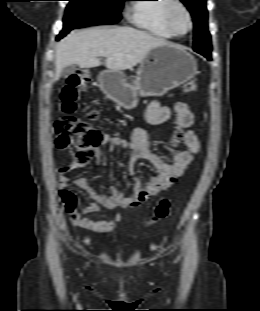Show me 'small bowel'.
I'll list each match as a JSON object with an SVG mask.
<instances>
[{"label":"small bowel","instance_id":"1","mask_svg":"<svg viewBox=\"0 0 260 311\" xmlns=\"http://www.w3.org/2000/svg\"><path fill=\"white\" fill-rule=\"evenodd\" d=\"M173 113H175V124L177 127L189 129L193 125L194 114L183 101H178L173 106L162 105L156 100L151 101L145 111V119L149 124L159 125L167 122ZM184 136L186 149L177 152L171 162H166L152 150L148 134L143 128H135L130 139H124L109 133L103 134L102 144L107 145L110 151L121 148L131 152L127 162L129 175H135V161L138 159H144L152 164L156 169V174L150 177L146 185H142L140 179L135 177L134 188L128 195H125L114 186L109 188L108 194H105L92 187L85 177L74 179L71 177L73 171L84 167L85 164L72 161L62 166L59 170L58 179L59 195L71 221L85 230L110 232L121 219L120 214L110 221H95L90 219L89 215L98 212L101 206L110 209L140 206L151 197L158 195L175 184L200 150L199 139L193 130H187ZM96 157L98 160L102 159L103 153L100 149H97ZM71 182L91 199V202L82 209H78V200L75 194L68 188Z\"/></svg>","mask_w":260,"mask_h":311}]
</instances>
